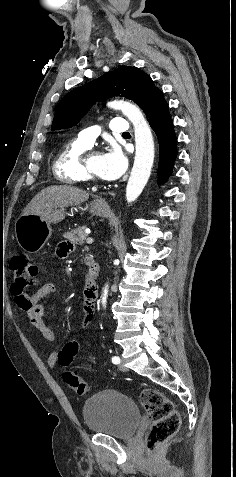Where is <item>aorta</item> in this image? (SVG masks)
<instances>
[{
	"label": "aorta",
	"mask_w": 236,
	"mask_h": 477,
	"mask_svg": "<svg viewBox=\"0 0 236 477\" xmlns=\"http://www.w3.org/2000/svg\"><path fill=\"white\" fill-rule=\"evenodd\" d=\"M109 106L121 110L134 126L135 160L126 187V199L131 203L142 193L150 177L154 161V140L149 124L136 105L127 101H113ZM107 296L108 285L102 294L103 306L106 305Z\"/></svg>",
	"instance_id": "1"
}]
</instances>
